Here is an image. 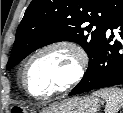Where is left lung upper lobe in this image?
Returning a JSON list of instances; mask_svg holds the SVG:
<instances>
[{
    "label": "left lung upper lobe",
    "mask_w": 123,
    "mask_h": 113,
    "mask_svg": "<svg viewBox=\"0 0 123 113\" xmlns=\"http://www.w3.org/2000/svg\"><path fill=\"white\" fill-rule=\"evenodd\" d=\"M111 0H32L16 31L7 69L31 52L57 41L81 45L89 62L105 37Z\"/></svg>",
    "instance_id": "5c2ea615"
}]
</instances>
